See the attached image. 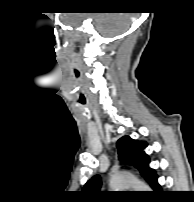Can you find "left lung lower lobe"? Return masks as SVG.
<instances>
[{
  "instance_id": "obj_1",
  "label": "left lung lower lobe",
  "mask_w": 194,
  "mask_h": 202,
  "mask_svg": "<svg viewBox=\"0 0 194 202\" xmlns=\"http://www.w3.org/2000/svg\"><path fill=\"white\" fill-rule=\"evenodd\" d=\"M150 186L154 189L155 192H160L161 188L160 185L157 182V177H155L151 183H149Z\"/></svg>"
}]
</instances>
